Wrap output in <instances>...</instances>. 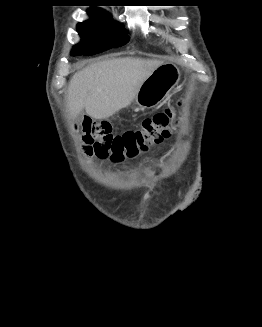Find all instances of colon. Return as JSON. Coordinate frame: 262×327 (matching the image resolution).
<instances>
[{
    "label": "colon",
    "instance_id": "colon-1",
    "mask_svg": "<svg viewBox=\"0 0 262 327\" xmlns=\"http://www.w3.org/2000/svg\"><path fill=\"white\" fill-rule=\"evenodd\" d=\"M176 119V109L168 107L144 119L139 129L115 134L108 121L85 118L81 123L82 148L90 156L121 162L169 138Z\"/></svg>",
    "mask_w": 262,
    "mask_h": 327
}]
</instances>
